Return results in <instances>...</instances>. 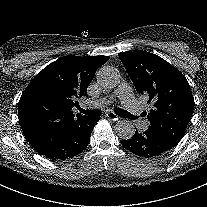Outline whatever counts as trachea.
Wrapping results in <instances>:
<instances>
[{"label": "trachea", "instance_id": "obj_1", "mask_svg": "<svg viewBox=\"0 0 207 207\" xmlns=\"http://www.w3.org/2000/svg\"><path fill=\"white\" fill-rule=\"evenodd\" d=\"M79 111L85 115L91 116V117H98L101 115V111L100 110H84L79 108ZM115 113L117 115H119L120 117L123 118H128L130 120H135L137 119V116L132 115L131 113H129L128 111H125L123 109L120 108H116L115 109Z\"/></svg>", "mask_w": 207, "mask_h": 207}]
</instances>
